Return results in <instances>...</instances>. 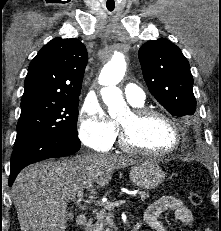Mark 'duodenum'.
<instances>
[{"label":"duodenum","instance_id":"1","mask_svg":"<svg viewBox=\"0 0 221 231\" xmlns=\"http://www.w3.org/2000/svg\"><path fill=\"white\" fill-rule=\"evenodd\" d=\"M76 222L79 226L84 227L88 223V218L85 214H79L76 218ZM138 227L135 226L134 228L131 229V231H137Z\"/></svg>","mask_w":221,"mask_h":231}]
</instances>
